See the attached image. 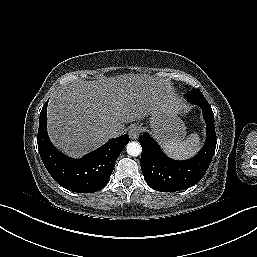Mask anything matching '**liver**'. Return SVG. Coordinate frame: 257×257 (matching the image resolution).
I'll use <instances>...</instances> for the list:
<instances>
[{
  "instance_id": "liver-1",
  "label": "liver",
  "mask_w": 257,
  "mask_h": 257,
  "mask_svg": "<svg viewBox=\"0 0 257 257\" xmlns=\"http://www.w3.org/2000/svg\"><path fill=\"white\" fill-rule=\"evenodd\" d=\"M161 106L178 111L164 84L146 75L75 82L51 97L48 135L60 151L78 158L102 146L109 130L120 135L125 123L141 121Z\"/></svg>"
}]
</instances>
